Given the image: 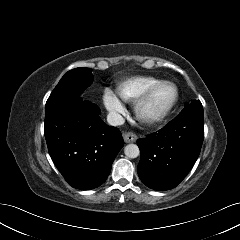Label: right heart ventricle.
Instances as JSON below:
<instances>
[{
    "instance_id": "right-heart-ventricle-1",
    "label": "right heart ventricle",
    "mask_w": 240,
    "mask_h": 240,
    "mask_svg": "<svg viewBox=\"0 0 240 240\" xmlns=\"http://www.w3.org/2000/svg\"><path fill=\"white\" fill-rule=\"evenodd\" d=\"M162 79L153 76L130 77L117 86L118 96L125 102H135L148 88L161 82Z\"/></svg>"
}]
</instances>
